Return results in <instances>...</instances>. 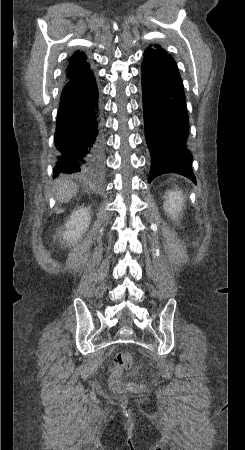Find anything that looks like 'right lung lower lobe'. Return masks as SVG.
<instances>
[{
    "label": "right lung lower lobe",
    "mask_w": 245,
    "mask_h": 450,
    "mask_svg": "<svg viewBox=\"0 0 245 450\" xmlns=\"http://www.w3.org/2000/svg\"><path fill=\"white\" fill-rule=\"evenodd\" d=\"M101 111L95 77L89 68L66 80L56 123L58 151L53 176L99 174L104 167Z\"/></svg>",
    "instance_id": "1"
}]
</instances>
